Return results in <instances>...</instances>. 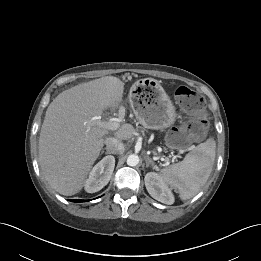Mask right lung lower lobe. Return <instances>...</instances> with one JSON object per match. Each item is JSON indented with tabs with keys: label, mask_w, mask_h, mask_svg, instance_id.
Masks as SVG:
<instances>
[{
	"label": "right lung lower lobe",
	"mask_w": 261,
	"mask_h": 261,
	"mask_svg": "<svg viewBox=\"0 0 261 261\" xmlns=\"http://www.w3.org/2000/svg\"><path fill=\"white\" fill-rule=\"evenodd\" d=\"M74 202H83L84 200H73Z\"/></svg>",
	"instance_id": "obj_1"
}]
</instances>
